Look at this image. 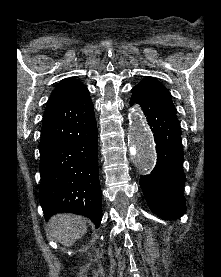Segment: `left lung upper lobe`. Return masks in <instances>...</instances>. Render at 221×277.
I'll use <instances>...</instances> for the list:
<instances>
[{
	"mask_svg": "<svg viewBox=\"0 0 221 277\" xmlns=\"http://www.w3.org/2000/svg\"><path fill=\"white\" fill-rule=\"evenodd\" d=\"M136 86L145 89L146 92L152 95L168 112L176 117V108L171 100V94L164 85L151 77H146Z\"/></svg>",
	"mask_w": 221,
	"mask_h": 277,
	"instance_id": "obj_1",
	"label": "left lung upper lobe"
}]
</instances>
